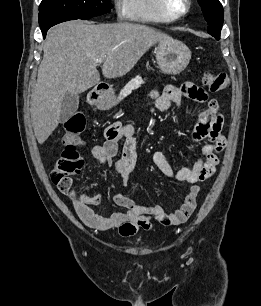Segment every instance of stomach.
I'll list each match as a JSON object with an SVG mask.
<instances>
[{
  "instance_id": "1",
  "label": "stomach",
  "mask_w": 261,
  "mask_h": 306,
  "mask_svg": "<svg viewBox=\"0 0 261 306\" xmlns=\"http://www.w3.org/2000/svg\"><path fill=\"white\" fill-rule=\"evenodd\" d=\"M191 51L179 40L168 39L159 42L156 48V60L159 69L170 75L180 74L189 64ZM94 104L102 110L110 109L117 104L114 91L99 94Z\"/></svg>"
}]
</instances>
